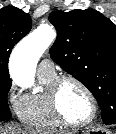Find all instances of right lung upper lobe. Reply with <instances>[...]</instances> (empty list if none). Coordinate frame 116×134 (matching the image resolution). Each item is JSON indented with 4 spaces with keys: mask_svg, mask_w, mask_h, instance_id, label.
<instances>
[{
    "mask_svg": "<svg viewBox=\"0 0 116 134\" xmlns=\"http://www.w3.org/2000/svg\"><path fill=\"white\" fill-rule=\"evenodd\" d=\"M30 15L9 6L0 9V79H9L8 60L17 42L31 30Z\"/></svg>",
    "mask_w": 116,
    "mask_h": 134,
    "instance_id": "cb5924a9",
    "label": "right lung upper lobe"
}]
</instances>
